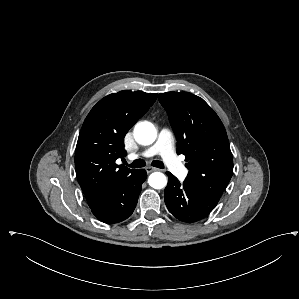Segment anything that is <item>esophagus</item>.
<instances>
[{
  "mask_svg": "<svg viewBox=\"0 0 299 299\" xmlns=\"http://www.w3.org/2000/svg\"><path fill=\"white\" fill-rule=\"evenodd\" d=\"M145 170H146L147 173H151V172L157 171L159 169L155 168V167L148 166V167L145 168Z\"/></svg>",
  "mask_w": 299,
  "mask_h": 299,
  "instance_id": "esophagus-1",
  "label": "esophagus"
}]
</instances>
